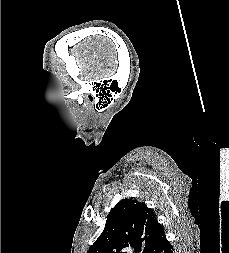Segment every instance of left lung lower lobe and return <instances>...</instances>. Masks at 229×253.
Segmentation results:
<instances>
[{"label": "left lung lower lobe", "mask_w": 229, "mask_h": 253, "mask_svg": "<svg viewBox=\"0 0 229 253\" xmlns=\"http://www.w3.org/2000/svg\"><path fill=\"white\" fill-rule=\"evenodd\" d=\"M154 253H173L172 245L167 241L166 237H164L157 248L154 250Z\"/></svg>", "instance_id": "0a47b994"}]
</instances>
